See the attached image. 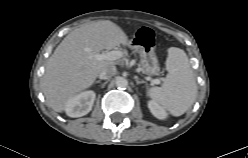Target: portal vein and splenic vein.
<instances>
[{"instance_id":"18ae733b","label":"portal vein and splenic vein","mask_w":248,"mask_h":158,"mask_svg":"<svg viewBox=\"0 0 248 158\" xmlns=\"http://www.w3.org/2000/svg\"><path fill=\"white\" fill-rule=\"evenodd\" d=\"M86 51H89L88 49ZM123 56V53L121 51L118 50H114V51H109V52H105V53H96L94 54L95 59L101 61V60H109V61H114V60H118ZM155 83L159 84L160 80L159 79H155Z\"/></svg>"}]
</instances>
